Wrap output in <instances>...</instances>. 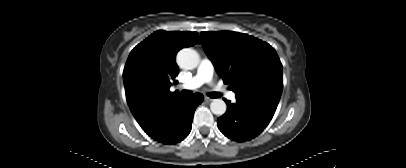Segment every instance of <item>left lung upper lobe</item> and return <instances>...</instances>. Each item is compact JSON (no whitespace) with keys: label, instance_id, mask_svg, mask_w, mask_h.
I'll return each instance as SVG.
<instances>
[{"label":"left lung upper lobe","instance_id":"5c2ea615","mask_svg":"<svg viewBox=\"0 0 406 168\" xmlns=\"http://www.w3.org/2000/svg\"><path fill=\"white\" fill-rule=\"evenodd\" d=\"M203 48L236 98L277 107L282 64L272 46L247 34L202 32Z\"/></svg>","mask_w":406,"mask_h":168}]
</instances>
